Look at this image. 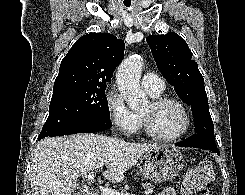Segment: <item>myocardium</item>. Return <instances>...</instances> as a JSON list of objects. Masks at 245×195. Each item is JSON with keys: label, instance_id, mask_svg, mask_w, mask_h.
<instances>
[{"label": "myocardium", "instance_id": "f54148a6", "mask_svg": "<svg viewBox=\"0 0 245 195\" xmlns=\"http://www.w3.org/2000/svg\"><path fill=\"white\" fill-rule=\"evenodd\" d=\"M165 104H176V105H178L182 109V111L185 115L184 126H183L182 130H180L178 133L173 134V135L159 134V133L155 132L153 130V128L151 127L148 116L141 114L140 117H141L143 130L147 136H149L150 138L155 139V140L170 142V141H175V140L182 138L183 136H185L190 131L191 125H192V116H191V113H190L188 107L185 105V103L183 101L177 99V98L168 97V96H159V97L154 98L151 101V106L153 109L160 108L161 106H163Z\"/></svg>", "mask_w": 245, "mask_h": 195}]
</instances>
